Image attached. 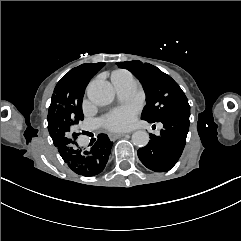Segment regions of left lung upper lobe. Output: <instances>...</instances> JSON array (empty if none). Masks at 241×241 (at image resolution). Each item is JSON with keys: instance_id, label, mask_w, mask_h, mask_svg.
Returning a JSON list of instances; mask_svg holds the SVG:
<instances>
[{"instance_id": "5c2ea615", "label": "left lung upper lobe", "mask_w": 241, "mask_h": 241, "mask_svg": "<svg viewBox=\"0 0 241 241\" xmlns=\"http://www.w3.org/2000/svg\"><path fill=\"white\" fill-rule=\"evenodd\" d=\"M117 65L129 70L144 88L147 103L141 119L154 123L190 111L182 89L157 67L141 61L118 62Z\"/></svg>"}]
</instances>
